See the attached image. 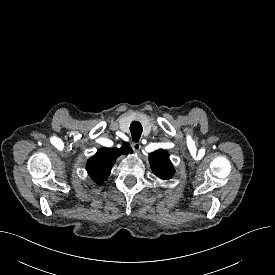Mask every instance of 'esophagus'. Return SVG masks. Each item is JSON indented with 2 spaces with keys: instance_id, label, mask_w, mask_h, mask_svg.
Returning <instances> with one entry per match:
<instances>
[{
  "instance_id": "1",
  "label": "esophagus",
  "mask_w": 275,
  "mask_h": 275,
  "mask_svg": "<svg viewBox=\"0 0 275 275\" xmlns=\"http://www.w3.org/2000/svg\"><path fill=\"white\" fill-rule=\"evenodd\" d=\"M132 148L135 152H139L141 149V144L139 142L132 143Z\"/></svg>"
}]
</instances>
